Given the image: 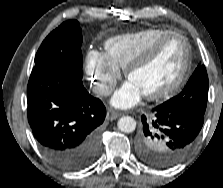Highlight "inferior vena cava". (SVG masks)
<instances>
[{
  "label": "inferior vena cava",
  "mask_w": 223,
  "mask_h": 188,
  "mask_svg": "<svg viewBox=\"0 0 223 188\" xmlns=\"http://www.w3.org/2000/svg\"><path fill=\"white\" fill-rule=\"evenodd\" d=\"M92 91L97 96H107L112 93L113 87L103 83H97L92 87Z\"/></svg>",
  "instance_id": "602c4592"
}]
</instances>
